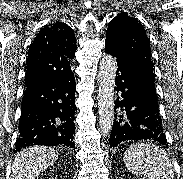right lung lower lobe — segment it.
<instances>
[{
	"label": "right lung lower lobe",
	"mask_w": 183,
	"mask_h": 179,
	"mask_svg": "<svg viewBox=\"0 0 183 179\" xmlns=\"http://www.w3.org/2000/svg\"><path fill=\"white\" fill-rule=\"evenodd\" d=\"M75 91L74 78L38 79L26 85L16 151L33 145L74 148Z\"/></svg>",
	"instance_id": "98d812e1"
}]
</instances>
